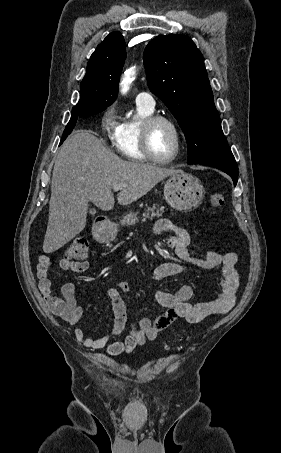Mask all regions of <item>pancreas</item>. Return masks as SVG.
Listing matches in <instances>:
<instances>
[{"label": "pancreas", "mask_w": 281, "mask_h": 453, "mask_svg": "<svg viewBox=\"0 0 281 453\" xmlns=\"http://www.w3.org/2000/svg\"><path fill=\"white\" fill-rule=\"evenodd\" d=\"M143 206V204H141ZM146 208L143 212V216H146V218H153V216H162V212L165 208V206H156V204H153V206H148V204H145Z\"/></svg>", "instance_id": "cf45deb5"}]
</instances>
